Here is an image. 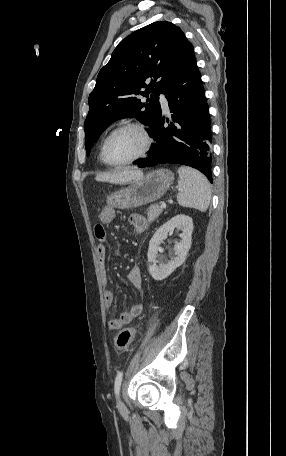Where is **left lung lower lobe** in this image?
Segmentation results:
<instances>
[{"mask_svg":"<svg viewBox=\"0 0 286 456\" xmlns=\"http://www.w3.org/2000/svg\"><path fill=\"white\" fill-rule=\"evenodd\" d=\"M165 97L174 123L164 127L165 118L160 116L149 133L156 144L149 156L136 164L140 168L157 163L183 164L198 169L212 183L211 121L195 59L171 83Z\"/></svg>","mask_w":286,"mask_h":456,"instance_id":"1","label":"left lung lower lobe"}]
</instances>
